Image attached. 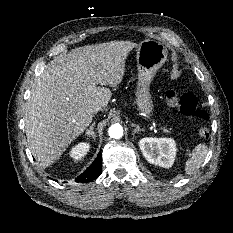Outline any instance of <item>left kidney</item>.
<instances>
[{
  "label": "left kidney",
  "instance_id": "1",
  "mask_svg": "<svg viewBox=\"0 0 233 233\" xmlns=\"http://www.w3.org/2000/svg\"><path fill=\"white\" fill-rule=\"evenodd\" d=\"M139 147L146 160L154 165L170 168L176 156V143L171 138H142Z\"/></svg>",
  "mask_w": 233,
  "mask_h": 233
}]
</instances>
